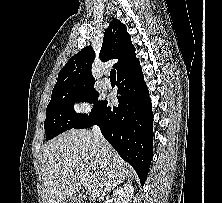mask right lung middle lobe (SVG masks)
Segmentation results:
<instances>
[{
    "mask_svg": "<svg viewBox=\"0 0 222 203\" xmlns=\"http://www.w3.org/2000/svg\"><path fill=\"white\" fill-rule=\"evenodd\" d=\"M97 98L98 92L94 89V85H86L52 92L51 101L47 106V114L44 122L46 140H50L60 133L74 128L88 117L87 114H77L74 111L73 105L76 101L95 103L91 110L92 113L102 102L98 101Z\"/></svg>",
    "mask_w": 222,
    "mask_h": 203,
    "instance_id": "obj_1",
    "label": "right lung middle lobe"
}]
</instances>
